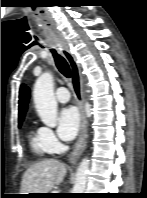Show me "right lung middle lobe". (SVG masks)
<instances>
[{
	"label": "right lung middle lobe",
	"mask_w": 147,
	"mask_h": 198,
	"mask_svg": "<svg viewBox=\"0 0 147 198\" xmlns=\"http://www.w3.org/2000/svg\"><path fill=\"white\" fill-rule=\"evenodd\" d=\"M24 119H20L18 122V126L20 127Z\"/></svg>",
	"instance_id": "dd1d6c3e"
}]
</instances>
